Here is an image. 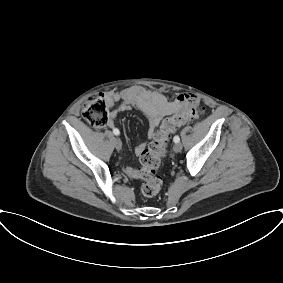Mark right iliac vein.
Returning a JSON list of instances; mask_svg holds the SVG:
<instances>
[{"mask_svg": "<svg viewBox=\"0 0 283 283\" xmlns=\"http://www.w3.org/2000/svg\"><path fill=\"white\" fill-rule=\"evenodd\" d=\"M114 145H115V148H116L117 150H121V148H122V142H121V140H120L119 138H115V139H114Z\"/></svg>", "mask_w": 283, "mask_h": 283, "instance_id": "63e3f726", "label": "right iliac vein"}]
</instances>
